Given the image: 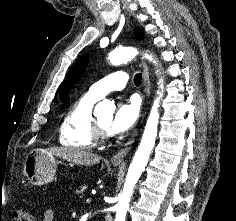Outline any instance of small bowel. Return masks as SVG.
Instances as JSON below:
<instances>
[{
  "label": "small bowel",
  "mask_w": 236,
  "mask_h": 221,
  "mask_svg": "<svg viewBox=\"0 0 236 221\" xmlns=\"http://www.w3.org/2000/svg\"><path fill=\"white\" fill-rule=\"evenodd\" d=\"M42 221H56L55 212L52 209H48L43 214Z\"/></svg>",
  "instance_id": "1"
}]
</instances>
